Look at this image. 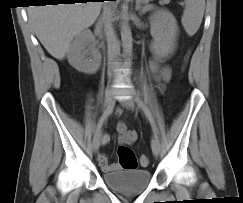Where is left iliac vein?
<instances>
[{"mask_svg": "<svg viewBox=\"0 0 243 203\" xmlns=\"http://www.w3.org/2000/svg\"><path fill=\"white\" fill-rule=\"evenodd\" d=\"M120 103L124 107H126L127 109H130V110H133L135 107V102L132 97L120 99ZM151 148H152L153 154L157 157L160 154L161 146H160V141L156 135H154L152 137Z\"/></svg>", "mask_w": 243, "mask_h": 203, "instance_id": "1", "label": "left iliac vein"}]
</instances>
